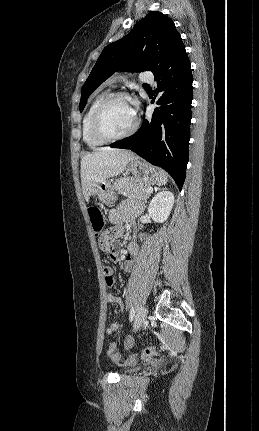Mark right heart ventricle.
<instances>
[{
    "label": "right heart ventricle",
    "instance_id": "right-heart-ventricle-1",
    "mask_svg": "<svg viewBox=\"0 0 259 431\" xmlns=\"http://www.w3.org/2000/svg\"><path fill=\"white\" fill-rule=\"evenodd\" d=\"M108 92H102L94 97V99L91 101L86 113L84 114L83 120H82V135L84 142L90 147V148H97L104 144V142L97 140L91 132V119L93 116V113L99 103L108 95Z\"/></svg>",
    "mask_w": 259,
    "mask_h": 431
}]
</instances>
